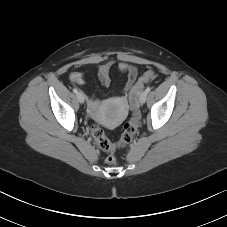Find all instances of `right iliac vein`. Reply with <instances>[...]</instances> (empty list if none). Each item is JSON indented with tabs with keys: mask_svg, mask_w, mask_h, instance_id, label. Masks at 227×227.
<instances>
[{
	"mask_svg": "<svg viewBox=\"0 0 227 227\" xmlns=\"http://www.w3.org/2000/svg\"><path fill=\"white\" fill-rule=\"evenodd\" d=\"M77 99L80 103H84L85 101V95L83 94V92H78L77 93Z\"/></svg>",
	"mask_w": 227,
	"mask_h": 227,
	"instance_id": "63e3f726",
	"label": "right iliac vein"
}]
</instances>
